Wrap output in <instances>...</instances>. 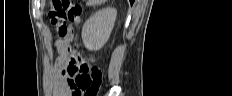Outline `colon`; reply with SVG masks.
Wrapping results in <instances>:
<instances>
[{"instance_id": "1", "label": "colon", "mask_w": 232, "mask_h": 96, "mask_svg": "<svg viewBox=\"0 0 232 96\" xmlns=\"http://www.w3.org/2000/svg\"><path fill=\"white\" fill-rule=\"evenodd\" d=\"M81 6L73 0H52L49 17L61 38L70 35V25L78 24ZM66 72L75 75V96H96L102 84V71L95 65L92 56L83 55L77 44L68 46Z\"/></svg>"}]
</instances>
